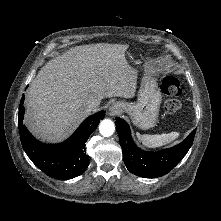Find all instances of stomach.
I'll return each mask as SVG.
<instances>
[{
  "label": "stomach",
  "mask_w": 221,
  "mask_h": 221,
  "mask_svg": "<svg viewBox=\"0 0 221 221\" xmlns=\"http://www.w3.org/2000/svg\"><path fill=\"white\" fill-rule=\"evenodd\" d=\"M161 100L162 96L156 78L145 69L137 102H117L116 104L121 107V112H126L131 116L134 125L141 129H149L157 122Z\"/></svg>",
  "instance_id": "1"
}]
</instances>
